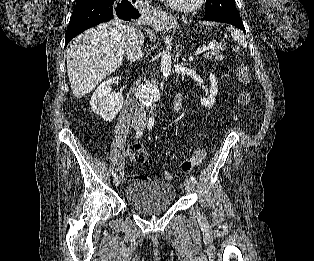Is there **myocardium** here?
Returning a JSON list of instances; mask_svg holds the SVG:
<instances>
[{
  "label": "myocardium",
  "mask_w": 314,
  "mask_h": 261,
  "mask_svg": "<svg viewBox=\"0 0 314 261\" xmlns=\"http://www.w3.org/2000/svg\"><path fill=\"white\" fill-rule=\"evenodd\" d=\"M169 5L172 9H174L175 11L181 12V13H194L197 12L198 10H200L206 0H192L189 3H179L177 1H168Z\"/></svg>",
  "instance_id": "obj_1"
}]
</instances>
